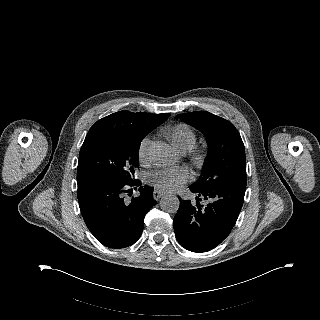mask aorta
I'll return each mask as SVG.
<instances>
[{"label": "aorta", "mask_w": 320, "mask_h": 320, "mask_svg": "<svg viewBox=\"0 0 320 320\" xmlns=\"http://www.w3.org/2000/svg\"><path fill=\"white\" fill-rule=\"evenodd\" d=\"M171 148L163 142H157L149 150L151 161L157 166L167 165L171 159ZM179 199L175 195H165L160 200V207L167 213H176L179 209Z\"/></svg>", "instance_id": "aorta-1"}]
</instances>
